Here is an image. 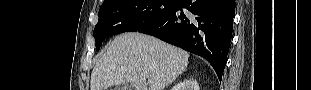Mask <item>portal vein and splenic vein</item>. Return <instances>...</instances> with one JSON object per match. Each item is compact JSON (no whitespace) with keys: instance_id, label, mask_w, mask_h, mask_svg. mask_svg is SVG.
Masks as SVG:
<instances>
[{"instance_id":"1","label":"portal vein and splenic vein","mask_w":311,"mask_h":90,"mask_svg":"<svg viewBox=\"0 0 311 90\" xmlns=\"http://www.w3.org/2000/svg\"><path fill=\"white\" fill-rule=\"evenodd\" d=\"M141 77H144V78H146V75H145V74H141Z\"/></svg>"}]
</instances>
